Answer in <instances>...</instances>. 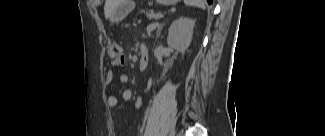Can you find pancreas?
I'll return each mask as SVG.
<instances>
[{
	"label": "pancreas",
	"mask_w": 325,
	"mask_h": 136,
	"mask_svg": "<svg viewBox=\"0 0 325 136\" xmlns=\"http://www.w3.org/2000/svg\"><path fill=\"white\" fill-rule=\"evenodd\" d=\"M152 10L148 5H142L139 8V12H133L132 18L136 24H142L144 22H148V19H144L143 16H151Z\"/></svg>",
	"instance_id": "cf45deb5"
}]
</instances>
